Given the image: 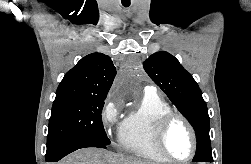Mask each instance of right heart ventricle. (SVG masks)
<instances>
[{
    "mask_svg": "<svg viewBox=\"0 0 251 164\" xmlns=\"http://www.w3.org/2000/svg\"><path fill=\"white\" fill-rule=\"evenodd\" d=\"M171 111L169 103L159 95L145 93L121 123L118 133L121 149L154 162H168L156 147L155 129L159 119Z\"/></svg>",
    "mask_w": 251,
    "mask_h": 164,
    "instance_id": "e07e8e85",
    "label": "right heart ventricle"
}]
</instances>
